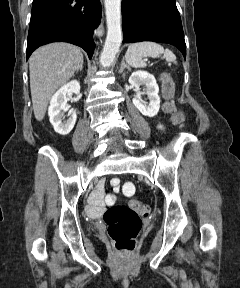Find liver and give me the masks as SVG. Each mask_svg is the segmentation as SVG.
Returning <instances> with one entry per match:
<instances>
[{"instance_id":"liver-1","label":"liver","mask_w":240,"mask_h":288,"mask_svg":"<svg viewBox=\"0 0 240 288\" xmlns=\"http://www.w3.org/2000/svg\"><path fill=\"white\" fill-rule=\"evenodd\" d=\"M80 48L69 43H51L38 48L29 59L30 89L34 116L41 121L51 96L80 67Z\"/></svg>"}]
</instances>
